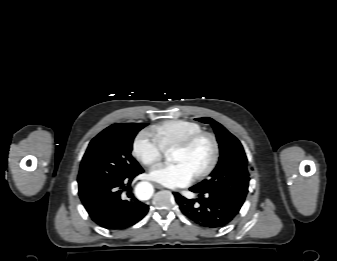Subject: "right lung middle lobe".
<instances>
[{
  "instance_id": "right-lung-middle-lobe-1",
  "label": "right lung middle lobe",
  "mask_w": 337,
  "mask_h": 261,
  "mask_svg": "<svg viewBox=\"0 0 337 261\" xmlns=\"http://www.w3.org/2000/svg\"><path fill=\"white\" fill-rule=\"evenodd\" d=\"M145 126L147 123H117L92 139L80 165L79 196L142 169L131 152L136 134Z\"/></svg>"
}]
</instances>
